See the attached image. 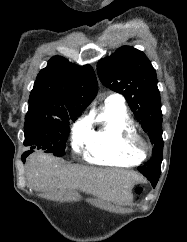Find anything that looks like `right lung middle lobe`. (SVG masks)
Segmentation results:
<instances>
[{
	"instance_id": "1",
	"label": "right lung middle lobe",
	"mask_w": 187,
	"mask_h": 242,
	"mask_svg": "<svg viewBox=\"0 0 187 242\" xmlns=\"http://www.w3.org/2000/svg\"><path fill=\"white\" fill-rule=\"evenodd\" d=\"M78 114L27 113L24 124V145L31 149H42L61 157L65 154L69 134V117L76 119Z\"/></svg>"
}]
</instances>
